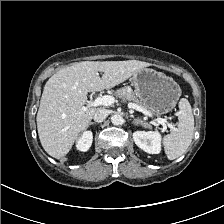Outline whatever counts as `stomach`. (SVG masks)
Masks as SVG:
<instances>
[{
  "label": "stomach",
  "mask_w": 224,
  "mask_h": 224,
  "mask_svg": "<svg viewBox=\"0 0 224 224\" xmlns=\"http://www.w3.org/2000/svg\"><path fill=\"white\" fill-rule=\"evenodd\" d=\"M139 99L152 114L171 111L181 96V88L171 77L151 68H143L132 77Z\"/></svg>",
  "instance_id": "0dacf381"
}]
</instances>
